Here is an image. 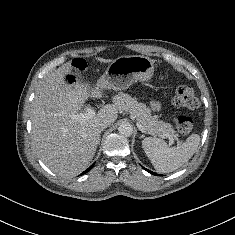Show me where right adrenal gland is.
Here are the masks:
<instances>
[{
  "mask_svg": "<svg viewBox=\"0 0 235 235\" xmlns=\"http://www.w3.org/2000/svg\"><path fill=\"white\" fill-rule=\"evenodd\" d=\"M103 130H104V129H101V130L99 131V139H98V144L100 143V140H101V139H100V136H101L100 134H101V132H102Z\"/></svg>",
  "mask_w": 235,
  "mask_h": 235,
  "instance_id": "obj_1",
  "label": "right adrenal gland"
}]
</instances>
